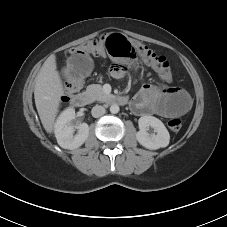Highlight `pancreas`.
<instances>
[{
	"instance_id": "cf45deb5",
	"label": "pancreas",
	"mask_w": 227,
	"mask_h": 227,
	"mask_svg": "<svg viewBox=\"0 0 227 227\" xmlns=\"http://www.w3.org/2000/svg\"><path fill=\"white\" fill-rule=\"evenodd\" d=\"M87 92L91 95L93 100H97L100 102H106L111 97V95L106 94L103 91L102 86L99 84L89 85L87 88Z\"/></svg>"
}]
</instances>
